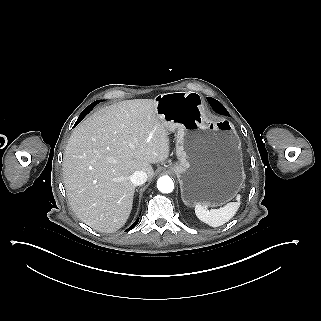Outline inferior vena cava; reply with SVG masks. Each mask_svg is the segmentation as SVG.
Returning <instances> with one entry per match:
<instances>
[{
	"instance_id": "1",
	"label": "inferior vena cava",
	"mask_w": 321,
	"mask_h": 321,
	"mask_svg": "<svg viewBox=\"0 0 321 321\" xmlns=\"http://www.w3.org/2000/svg\"><path fill=\"white\" fill-rule=\"evenodd\" d=\"M130 180L135 186L142 185L147 181V174L143 171H135L130 176Z\"/></svg>"
}]
</instances>
